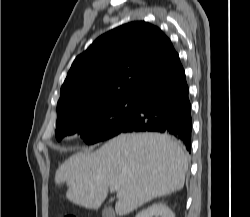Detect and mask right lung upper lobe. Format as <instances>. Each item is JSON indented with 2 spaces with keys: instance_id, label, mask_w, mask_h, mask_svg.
Returning a JSON list of instances; mask_svg holds the SVG:
<instances>
[{
  "instance_id": "1",
  "label": "right lung upper lobe",
  "mask_w": 250,
  "mask_h": 217,
  "mask_svg": "<svg viewBox=\"0 0 250 217\" xmlns=\"http://www.w3.org/2000/svg\"><path fill=\"white\" fill-rule=\"evenodd\" d=\"M179 61L169 38L147 22L103 34L74 60L61 87L57 123L101 103L133 98Z\"/></svg>"
}]
</instances>
